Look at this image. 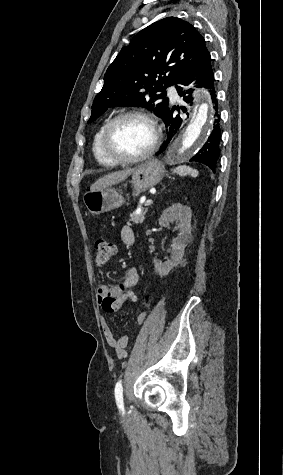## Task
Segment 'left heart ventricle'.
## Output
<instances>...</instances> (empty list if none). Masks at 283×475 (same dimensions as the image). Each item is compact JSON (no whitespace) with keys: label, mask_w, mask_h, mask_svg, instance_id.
Segmentation results:
<instances>
[{"label":"left heart ventricle","mask_w":283,"mask_h":475,"mask_svg":"<svg viewBox=\"0 0 283 475\" xmlns=\"http://www.w3.org/2000/svg\"><path fill=\"white\" fill-rule=\"evenodd\" d=\"M153 138V128L147 120L128 117L115 125L108 143V152L113 157H137L149 149Z\"/></svg>","instance_id":"1"}]
</instances>
